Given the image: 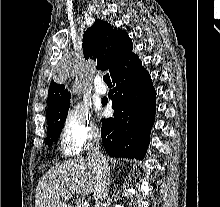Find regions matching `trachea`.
Instances as JSON below:
<instances>
[{"mask_svg": "<svg viewBox=\"0 0 220 207\" xmlns=\"http://www.w3.org/2000/svg\"><path fill=\"white\" fill-rule=\"evenodd\" d=\"M103 80H104L105 83H107V84H108V83H111V79H110L109 74L104 75Z\"/></svg>", "mask_w": 220, "mask_h": 207, "instance_id": "trachea-1", "label": "trachea"}]
</instances>
